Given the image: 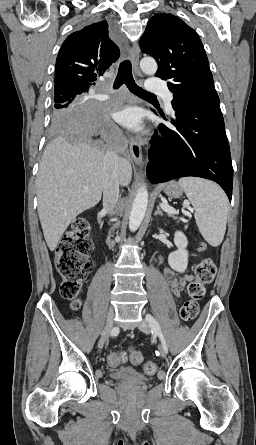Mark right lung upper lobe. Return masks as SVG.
<instances>
[{
    "instance_id": "cb5924a9",
    "label": "right lung upper lobe",
    "mask_w": 256,
    "mask_h": 445,
    "mask_svg": "<svg viewBox=\"0 0 256 445\" xmlns=\"http://www.w3.org/2000/svg\"><path fill=\"white\" fill-rule=\"evenodd\" d=\"M119 55L106 21L72 33L63 42L56 59L55 96L88 93Z\"/></svg>"
}]
</instances>
